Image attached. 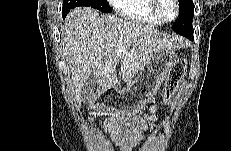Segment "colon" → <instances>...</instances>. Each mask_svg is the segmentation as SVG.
Segmentation results:
<instances>
[{"label":"colon","mask_w":231,"mask_h":151,"mask_svg":"<svg viewBox=\"0 0 231 151\" xmlns=\"http://www.w3.org/2000/svg\"><path fill=\"white\" fill-rule=\"evenodd\" d=\"M186 73V63L178 60L170 69L164 85L163 97L166 103H171L176 89L183 80Z\"/></svg>","instance_id":"5ec220e1"}]
</instances>
